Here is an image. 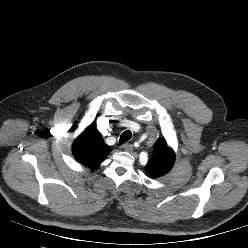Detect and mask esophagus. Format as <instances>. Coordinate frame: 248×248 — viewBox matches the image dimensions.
Here are the masks:
<instances>
[{
	"label": "esophagus",
	"instance_id": "34e87169",
	"mask_svg": "<svg viewBox=\"0 0 248 248\" xmlns=\"http://www.w3.org/2000/svg\"><path fill=\"white\" fill-rule=\"evenodd\" d=\"M122 148H123L125 151L130 152V151L133 150V145H132V144H124V145L122 146Z\"/></svg>",
	"mask_w": 248,
	"mask_h": 248
}]
</instances>
